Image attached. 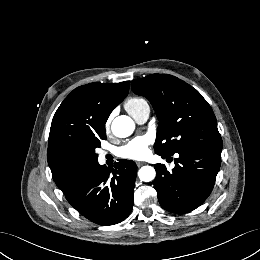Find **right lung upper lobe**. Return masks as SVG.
Here are the masks:
<instances>
[{"label": "right lung upper lobe", "mask_w": 260, "mask_h": 260, "mask_svg": "<svg viewBox=\"0 0 260 260\" xmlns=\"http://www.w3.org/2000/svg\"><path fill=\"white\" fill-rule=\"evenodd\" d=\"M128 91L129 81L90 83L74 89L59 106L50 128L47 159L63 193L89 169L86 146L105 129L110 113Z\"/></svg>", "instance_id": "right-lung-upper-lobe-1"}]
</instances>
